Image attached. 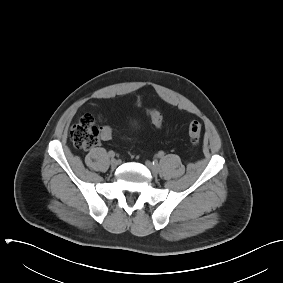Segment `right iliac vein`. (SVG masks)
Masks as SVG:
<instances>
[{
  "mask_svg": "<svg viewBox=\"0 0 283 283\" xmlns=\"http://www.w3.org/2000/svg\"><path fill=\"white\" fill-rule=\"evenodd\" d=\"M110 165L112 169H115L119 165V162L116 159H112Z\"/></svg>",
  "mask_w": 283,
  "mask_h": 283,
  "instance_id": "63e3f726",
  "label": "right iliac vein"
}]
</instances>
